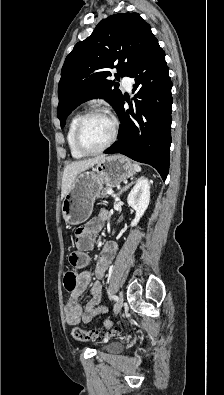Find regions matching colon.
<instances>
[{
	"label": "colon",
	"instance_id": "5ec220e1",
	"mask_svg": "<svg viewBox=\"0 0 224 395\" xmlns=\"http://www.w3.org/2000/svg\"><path fill=\"white\" fill-rule=\"evenodd\" d=\"M63 284L66 291L70 293L76 290L77 278L73 271H68L65 273L63 278ZM118 333V330H87L79 326H72L71 328V335L73 336V338L81 342L105 340L117 335Z\"/></svg>",
	"mask_w": 224,
	"mask_h": 395
}]
</instances>
